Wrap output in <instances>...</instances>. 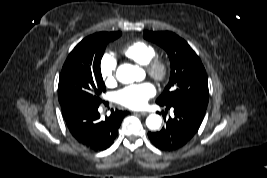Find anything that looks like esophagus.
Instances as JSON below:
<instances>
[{
	"label": "esophagus",
	"instance_id": "1",
	"mask_svg": "<svg viewBox=\"0 0 267 178\" xmlns=\"http://www.w3.org/2000/svg\"><path fill=\"white\" fill-rule=\"evenodd\" d=\"M136 114H139V115H142V116H145L148 114V112L146 111H140V112H136Z\"/></svg>",
	"mask_w": 267,
	"mask_h": 178
}]
</instances>
